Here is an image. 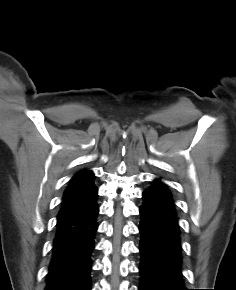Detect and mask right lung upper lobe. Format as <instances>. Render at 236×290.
Wrapping results in <instances>:
<instances>
[{"label": "right lung upper lobe", "instance_id": "right-lung-upper-lobe-1", "mask_svg": "<svg viewBox=\"0 0 236 290\" xmlns=\"http://www.w3.org/2000/svg\"><path fill=\"white\" fill-rule=\"evenodd\" d=\"M94 174L91 171L78 172L70 181L63 195L62 208L59 214L70 212L80 208L96 196L97 188L93 180Z\"/></svg>", "mask_w": 236, "mask_h": 290}]
</instances>
